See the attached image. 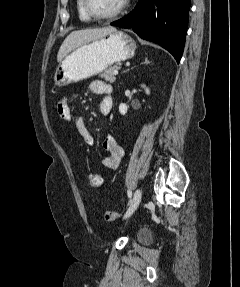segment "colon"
Returning <instances> with one entry per match:
<instances>
[{"instance_id": "obj_1", "label": "colon", "mask_w": 240, "mask_h": 287, "mask_svg": "<svg viewBox=\"0 0 240 287\" xmlns=\"http://www.w3.org/2000/svg\"><path fill=\"white\" fill-rule=\"evenodd\" d=\"M85 178L91 188H99L103 184V175L98 170H88L85 174ZM103 218L107 221H116L119 218V214L111 210H105L103 212Z\"/></svg>"}]
</instances>
